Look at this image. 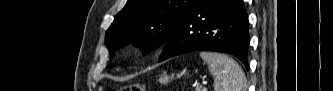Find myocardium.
<instances>
[{
  "label": "myocardium",
  "mask_w": 333,
  "mask_h": 91,
  "mask_svg": "<svg viewBox=\"0 0 333 91\" xmlns=\"http://www.w3.org/2000/svg\"><path fill=\"white\" fill-rule=\"evenodd\" d=\"M143 50V46L140 42L135 43L132 47H131V51L135 54H139L141 53Z\"/></svg>",
  "instance_id": "myocardium-1"
}]
</instances>
